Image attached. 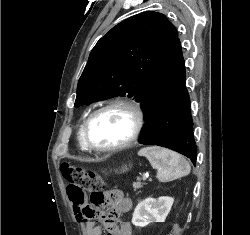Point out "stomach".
<instances>
[{
	"instance_id": "0dacf381",
	"label": "stomach",
	"mask_w": 250,
	"mask_h": 235,
	"mask_svg": "<svg viewBox=\"0 0 250 235\" xmlns=\"http://www.w3.org/2000/svg\"><path fill=\"white\" fill-rule=\"evenodd\" d=\"M124 171H125V169H124V168H122L121 172H124Z\"/></svg>"
}]
</instances>
